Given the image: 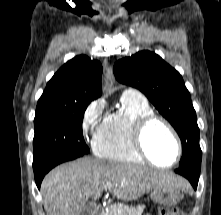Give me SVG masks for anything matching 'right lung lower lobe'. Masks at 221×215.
I'll list each match as a JSON object with an SVG mask.
<instances>
[{
  "label": "right lung lower lobe",
  "mask_w": 221,
  "mask_h": 215,
  "mask_svg": "<svg viewBox=\"0 0 221 215\" xmlns=\"http://www.w3.org/2000/svg\"><path fill=\"white\" fill-rule=\"evenodd\" d=\"M86 154L83 153H74V154H63V155H58L55 156L49 160H47L46 162L33 167L34 169V176H35V182L36 185L38 187V189H40V185L41 182L45 176V174L50 171L52 168H54L55 166H57L60 163L66 162V161H70V160H74L78 157H82Z\"/></svg>",
  "instance_id": "98d812e1"
}]
</instances>
